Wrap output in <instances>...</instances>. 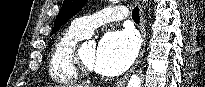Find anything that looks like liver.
Listing matches in <instances>:
<instances>
[{
	"instance_id": "liver-1",
	"label": "liver",
	"mask_w": 205,
	"mask_h": 87,
	"mask_svg": "<svg viewBox=\"0 0 205 87\" xmlns=\"http://www.w3.org/2000/svg\"><path fill=\"white\" fill-rule=\"evenodd\" d=\"M61 87H86V86H83L81 84H66Z\"/></svg>"
}]
</instances>
